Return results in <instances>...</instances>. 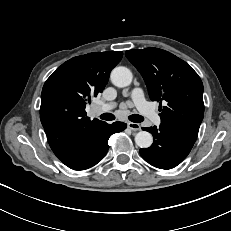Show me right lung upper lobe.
<instances>
[{"label": "right lung upper lobe", "instance_id": "cb5924a9", "mask_svg": "<svg viewBox=\"0 0 231 231\" xmlns=\"http://www.w3.org/2000/svg\"><path fill=\"white\" fill-rule=\"evenodd\" d=\"M122 52H93L63 63L45 82L40 119L49 145L62 162L88 136L107 125L86 116V105L101 93Z\"/></svg>", "mask_w": 231, "mask_h": 231}]
</instances>
